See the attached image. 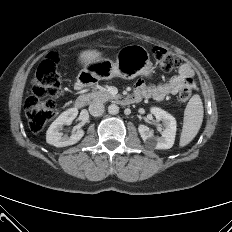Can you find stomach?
Segmentation results:
<instances>
[{
	"label": "stomach",
	"mask_w": 232,
	"mask_h": 232,
	"mask_svg": "<svg viewBox=\"0 0 232 232\" xmlns=\"http://www.w3.org/2000/svg\"><path fill=\"white\" fill-rule=\"evenodd\" d=\"M153 72L148 51L141 45H128L119 50L116 61L98 59L87 63L80 71L77 82L93 85L100 80L113 77L133 79L136 76H150Z\"/></svg>",
	"instance_id": "stomach-1"
}]
</instances>
